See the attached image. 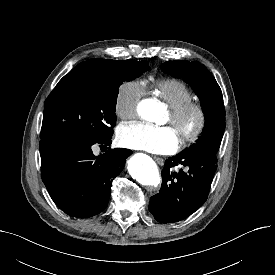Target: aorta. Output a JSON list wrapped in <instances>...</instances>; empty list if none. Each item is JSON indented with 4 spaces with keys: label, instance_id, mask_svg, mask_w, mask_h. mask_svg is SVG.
Here are the masks:
<instances>
[{
    "label": "aorta",
    "instance_id": "1",
    "mask_svg": "<svg viewBox=\"0 0 275 275\" xmlns=\"http://www.w3.org/2000/svg\"><path fill=\"white\" fill-rule=\"evenodd\" d=\"M138 110L141 117L148 121H158L162 115L159 104L152 99L141 102ZM128 168L133 178L142 185L157 186L161 181L156 163L148 156H133Z\"/></svg>",
    "mask_w": 275,
    "mask_h": 275
}]
</instances>
